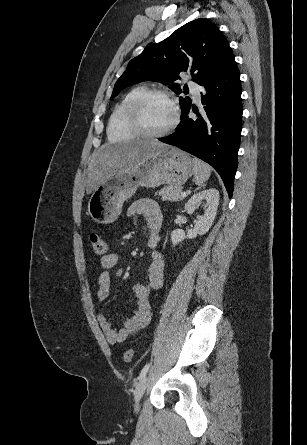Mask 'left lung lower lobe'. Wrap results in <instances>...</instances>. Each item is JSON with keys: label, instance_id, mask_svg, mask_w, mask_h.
<instances>
[{"label": "left lung lower lobe", "instance_id": "0a47b994", "mask_svg": "<svg viewBox=\"0 0 307 445\" xmlns=\"http://www.w3.org/2000/svg\"><path fill=\"white\" fill-rule=\"evenodd\" d=\"M201 102L193 109L197 119L184 114L178 129L159 140L179 147L209 163L221 176L232 197L237 155L242 129L240 72L234 57L206 83Z\"/></svg>", "mask_w": 307, "mask_h": 445}]
</instances>
